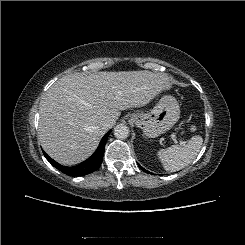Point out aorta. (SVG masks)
<instances>
[{"instance_id": "aorta-1", "label": "aorta", "mask_w": 245, "mask_h": 245, "mask_svg": "<svg viewBox=\"0 0 245 245\" xmlns=\"http://www.w3.org/2000/svg\"><path fill=\"white\" fill-rule=\"evenodd\" d=\"M129 128L125 124H118L114 128V136L118 139H126L129 136Z\"/></svg>"}]
</instances>
